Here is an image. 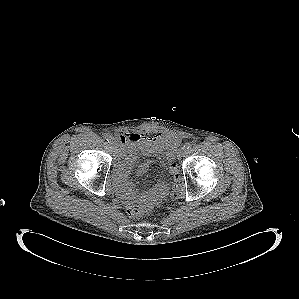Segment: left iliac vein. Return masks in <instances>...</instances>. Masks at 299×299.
<instances>
[{
    "label": "left iliac vein",
    "mask_w": 299,
    "mask_h": 299,
    "mask_svg": "<svg viewBox=\"0 0 299 299\" xmlns=\"http://www.w3.org/2000/svg\"><path fill=\"white\" fill-rule=\"evenodd\" d=\"M185 153H186V149L182 147L179 149V151L177 153V157L182 158V157H184Z\"/></svg>",
    "instance_id": "obj_1"
}]
</instances>
